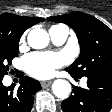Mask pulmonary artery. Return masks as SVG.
<instances>
[{"label": "pulmonary artery", "mask_w": 112, "mask_h": 112, "mask_svg": "<svg viewBox=\"0 0 112 112\" xmlns=\"http://www.w3.org/2000/svg\"><path fill=\"white\" fill-rule=\"evenodd\" d=\"M49 34L54 44L62 45L68 37L69 29L67 26L60 25L50 28ZM83 84H85V81Z\"/></svg>", "instance_id": "obj_1"}]
</instances>
